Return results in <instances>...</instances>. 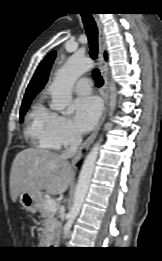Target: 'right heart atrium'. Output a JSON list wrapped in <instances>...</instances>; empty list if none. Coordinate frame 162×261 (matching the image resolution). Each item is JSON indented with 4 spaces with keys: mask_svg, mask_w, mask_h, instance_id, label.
Segmentation results:
<instances>
[{
    "mask_svg": "<svg viewBox=\"0 0 162 261\" xmlns=\"http://www.w3.org/2000/svg\"><path fill=\"white\" fill-rule=\"evenodd\" d=\"M49 136L54 147H67L79 140V134L70 119L62 115H54L49 125Z\"/></svg>",
    "mask_w": 162,
    "mask_h": 261,
    "instance_id": "right-heart-atrium-1",
    "label": "right heart atrium"
}]
</instances>
